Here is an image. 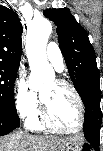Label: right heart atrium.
<instances>
[{
    "instance_id": "d8ad5b80",
    "label": "right heart atrium",
    "mask_w": 103,
    "mask_h": 151,
    "mask_svg": "<svg viewBox=\"0 0 103 151\" xmlns=\"http://www.w3.org/2000/svg\"><path fill=\"white\" fill-rule=\"evenodd\" d=\"M14 102L21 117L29 119L38 111V98L21 74L16 77L14 83Z\"/></svg>"
}]
</instances>
